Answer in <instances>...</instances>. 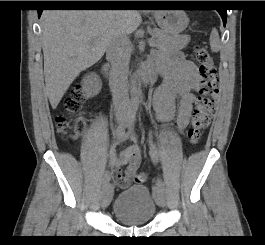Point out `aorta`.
I'll use <instances>...</instances> for the list:
<instances>
[{
    "label": "aorta",
    "instance_id": "762f6f07",
    "mask_svg": "<svg viewBox=\"0 0 265 245\" xmlns=\"http://www.w3.org/2000/svg\"><path fill=\"white\" fill-rule=\"evenodd\" d=\"M131 91H132V94H133L132 99L134 101H137L139 99V88H138V84H137V82L135 80L132 81V83H131Z\"/></svg>",
    "mask_w": 265,
    "mask_h": 245
}]
</instances>
